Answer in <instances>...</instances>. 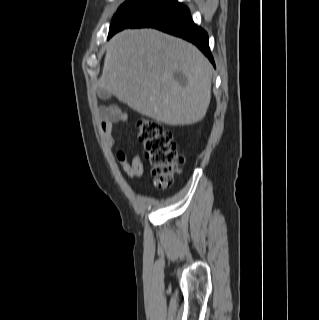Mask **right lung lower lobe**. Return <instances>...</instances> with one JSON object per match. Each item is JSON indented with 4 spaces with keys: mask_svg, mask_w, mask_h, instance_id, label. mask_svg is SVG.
<instances>
[{
    "mask_svg": "<svg viewBox=\"0 0 319 320\" xmlns=\"http://www.w3.org/2000/svg\"><path fill=\"white\" fill-rule=\"evenodd\" d=\"M130 27H154L186 39L195 44L214 64L208 45L207 33L194 24L189 9L180 3H176L166 10L151 14ZM122 29L124 28L109 31L108 38Z\"/></svg>",
    "mask_w": 319,
    "mask_h": 320,
    "instance_id": "obj_1",
    "label": "right lung lower lobe"
}]
</instances>
